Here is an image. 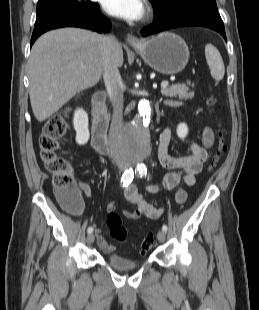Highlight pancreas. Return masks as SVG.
<instances>
[{
	"label": "pancreas",
	"instance_id": "obj_1",
	"mask_svg": "<svg viewBox=\"0 0 259 310\" xmlns=\"http://www.w3.org/2000/svg\"><path fill=\"white\" fill-rule=\"evenodd\" d=\"M191 82L186 84H176L169 87H163L161 93L167 97H177L182 100L192 99L194 97V91H190L189 86ZM194 87V84L191 85Z\"/></svg>",
	"mask_w": 259,
	"mask_h": 310
}]
</instances>
